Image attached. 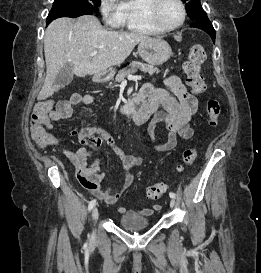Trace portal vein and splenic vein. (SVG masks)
I'll return each mask as SVG.
<instances>
[{
  "label": "portal vein and splenic vein",
  "mask_w": 261,
  "mask_h": 273,
  "mask_svg": "<svg viewBox=\"0 0 261 273\" xmlns=\"http://www.w3.org/2000/svg\"><path fill=\"white\" fill-rule=\"evenodd\" d=\"M98 53V51H94V52H92L89 56L90 57H93V56H95L96 54ZM142 78V76H138V75H136V76H133V75H128L127 76V79L128 80H140Z\"/></svg>",
  "instance_id": "obj_1"
}]
</instances>
